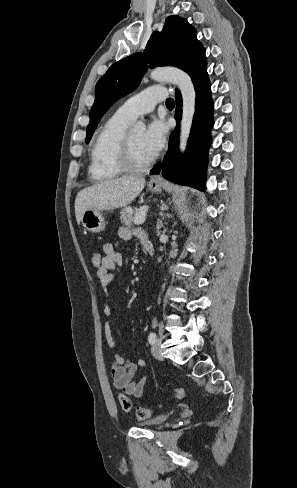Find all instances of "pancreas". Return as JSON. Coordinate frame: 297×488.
Returning <instances> with one entry per match:
<instances>
[{
    "mask_svg": "<svg viewBox=\"0 0 297 488\" xmlns=\"http://www.w3.org/2000/svg\"><path fill=\"white\" fill-rule=\"evenodd\" d=\"M131 207H124L120 212V220L126 226H132L133 224H137L135 222L136 214H139V209L136 211H130Z\"/></svg>",
    "mask_w": 297,
    "mask_h": 488,
    "instance_id": "obj_1",
    "label": "pancreas"
}]
</instances>
